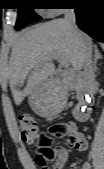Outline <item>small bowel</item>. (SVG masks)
Instances as JSON below:
<instances>
[{
  "mask_svg": "<svg viewBox=\"0 0 104 169\" xmlns=\"http://www.w3.org/2000/svg\"><path fill=\"white\" fill-rule=\"evenodd\" d=\"M66 124L74 131L75 136H76V141L73 146L78 151H85L88 148V142H87L85 135L82 132L77 130V127L73 122H67ZM57 154H58V160L56 164V169H62V167L64 166L68 158V151L64 147H59L57 149ZM91 168L92 167H91L90 162H85L80 167V169H91Z\"/></svg>",
  "mask_w": 104,
  "mask_h": 169,
  "instance_id": "1",
  "label": "small bowel"
}]
</instances>
